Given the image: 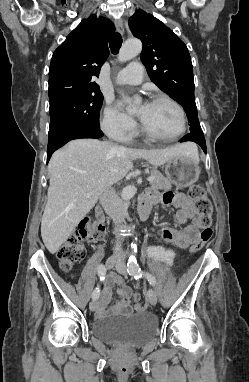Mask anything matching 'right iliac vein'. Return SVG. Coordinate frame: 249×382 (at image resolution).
Masks as SVG:
<instances>
[{"mask_svg":"<svg viewBox=\"0 0 249 382\" xmlns=\"http://www.w3.org/2000/svg\"><path fill=\"white\" fill-rule=\"evenodd\" d=\"M117 257L116 256H111L109 257L107 260H106V267L107 269H112L114 267V265L116 264V261H117ZM98 306V301L97 299H93L90 304H89V308L91 311H95L96 308Z\"/></svg>","mask_w":249,"mask_h":382,"instance_id":"1","label":"right iliac vein"}]
</instances>
